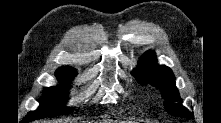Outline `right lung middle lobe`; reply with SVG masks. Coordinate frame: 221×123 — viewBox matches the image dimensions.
<instances>
[{
	"label": "right lung middle lobe",
	"mask_w": 221,
	"mask_h": 123,
	"mask_svg": "<svg viewBox=\"0 0 221 123\" xmlns=\"http://www.w3.org/2000/svg\"><path fill=\"white\" fill-rule=\"evenodd\" d=\"M76 71L73 68L62 67L56 77L60 82L59 85L49 87L44 90V99L37 111L29 112L26 119L35 120L45 117H54L60 114H68L72 108H65L64 105L68 100L69 81L74 77Z\"/></svg>",
	"instance_id": "right-lung-middle-lobe-1"
}]
</instances>
